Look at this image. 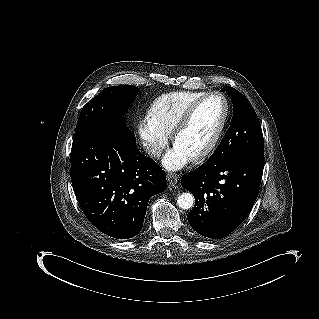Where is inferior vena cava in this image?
<instances>
[{
    "label": "inferior vena cava",
    "instance_id": "1",
    "mask_svg": "<svg viewBox=\"0 0 319 319\" xmlns=\"http://www.w3.org/2000/svg\"><path fill=\"white\" fill-rule=\"evenodd\" d=\"M143 149L150 157H160L162 154V148L157 144L145 142Z\"/></svg>",
    "mask_w": 319,
    "mask_h": 319
}]
</instances>
